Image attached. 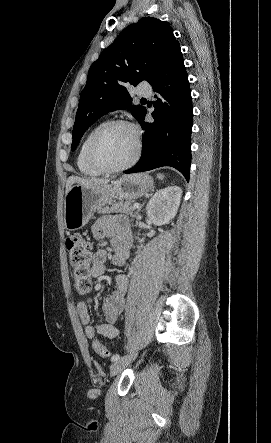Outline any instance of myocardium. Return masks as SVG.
I'll list each match as a JSON object with an SVG mask.
<instances>
[{
  "label": "myocardium",
  "mask_w": 271,
  "mask_h": 443,
  "mask_svg": "<svg viewBox=\"0 0 271 443\" xmlns=\"http://www.w3.org/2000/svg\"><path fill=\"white\" fill-rule=\"evenodd\" d=\"M117 126H122L128 128L131 133L133 134L134 141H135V149L132 154V156L126 161L124 164L117 166V167H110L102 163L96 156V147L101 138L111 129ZM142 153V140L140 133L137 129V127L126 120L122 119H115L110 120L106 123H104L94 134L92 139L90 140L87 150H86V157L88 162L91 166H93L95 169L99 170L101 173H118L122 172L128 168H130L132 165H134L137 160L140 158Z\"/></svg>",
  "instance_id": "f54148a6"
}]
</instances>
